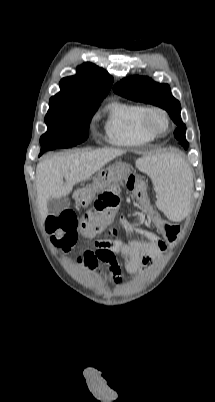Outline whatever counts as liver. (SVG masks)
Listing matches in <instances>:
<instances>
[{"mask_svg":"<svg viewBox=\"0 0 215 402\" xmlns=\"http://www.w3.org/2000/svg\"><path fill=\"white\" fill-rule=\"evenodd\" d=\"M124 151L107 148L57 155L40 162L36 167V189L39 211L48 215L47 201L68 195L73 187L89 179L105 164ZM65 178V182L64 179Z\"/></svg>","mask_w":215,"mask_h":402,"instance_id":"1","label":"liver"}]
</instances>
